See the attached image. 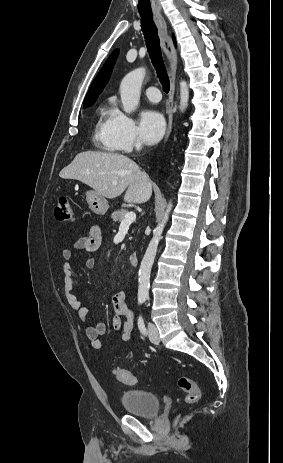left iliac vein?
<instances>
[{
  "mask_svg": "<svg viewBox=\"0 0 283 463\" xmlns=\"http://www.w3.org/2000/svg\"><path fill=\"white\" fill-rule=\"evenodd\" d=\"M148 335L152 343L158 344L160 342L158 329L153 323H148Z\"/></svg>",
  "mask_w": 283,
  "mask_h": 463,
  "instance_id": "4c4485c4",
  "label": "left iliac vein"
}]
</instances>
